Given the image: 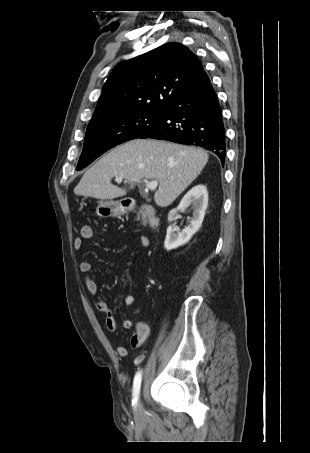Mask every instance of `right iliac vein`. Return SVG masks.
<instances>
[{
    "label": "right iliac vein",
    "mask_w": 310,
    "mask_h": 453,
    "mask_svg": "<svg viewBox=\"0 0 310 453\" xmlns=\"http://www.w3.org/2000/svg\"><path fill=\"white\" fill-rule=\"evenodd\" d=\"M142 411H143L142 406L140 403H138L135 412L137 415H141Z\"/></svg>",
    "instance_id": "obj_1"
}]
</instances>
